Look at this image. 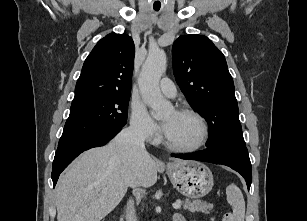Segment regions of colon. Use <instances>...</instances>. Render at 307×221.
<instances>
[{"instance_id":"1","label":"colon","mask_w":307,"mask_h":221,"mask_svg":"<svg viewBox=\"0 0 307 221\" xmlns=\"http://www.w3.org/2000/svg\"><path fill=\"white\" fill-rule=\"evenodd\" d=\"M222 221H235L234 215L229 211H225L222 216Z\"/></svg>"}]
</instances>
